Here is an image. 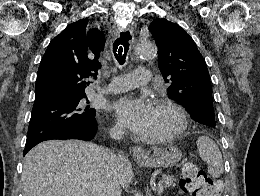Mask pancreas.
Segmentation results:
<instances>
[{"instance_id": "1", "label": "pancreas", "mask_w": 260, "mask_h": 196, "mask_svg": "<svg viewBox=\"0 0 260 196\" xmlns=\"http://www.w3.org/2000/svg\"><path fill=\"white\" fill-rule=\"evenodd\" d=\"M161 182H163L164 188H170V186L175 188V186H177V184H175L176 178H174V176H163Z\"/></svg>"}]
</instances>
